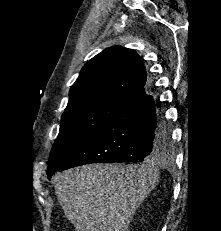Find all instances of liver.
I'll return each instance as SVG.
<instances>
[{
  "label": "liver",
  "mask_w": 221,
  "mask_h": 231,
  "mask_svg": "<svg viewBox=\"0 0 221 231\" xmlns=\"http://www.w3.org/2000/svg\"><path fill=\"white\" fill-rule=\"evenodd\" d=\"M158 178L151 165L92 164L58 173L54 185L77 231H128Z\"/></svg>",
  "instance_id": "obj_1"
}]
</instances>
